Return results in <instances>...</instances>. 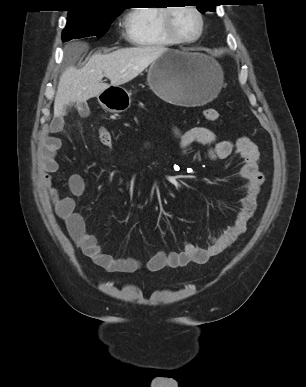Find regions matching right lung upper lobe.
Listing matches in <instances>:
<instances>
[{
    "label": "right lung upper lobe",
    "mask_w": 306,
    "mask_h": 387,
    "mask_svg": "<svg viewBox=\"0 0 306 387\" xmlns=\"http://www.w3.org/2000/svg\"><path fill=\"white\" fill-rule=\"evenodd\" d=\"M68 16H96L123 11L120 0H72Z\"/></svg>",
    "instance_id": "cb5924a9"
}]
</instances>
